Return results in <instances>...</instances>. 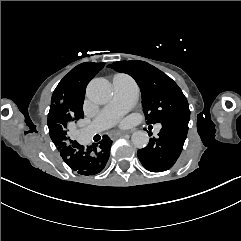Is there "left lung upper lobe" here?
Segmentation results:
<instances>
[{"mask_svg": "<svg viewBox=\"0 0 241 241\" xmlns=\"http://www.w3.org/2000/svg\"><path fill=\"white\" fill-rule=\"evenodd\" d=\"M108 67L135 79L142 93L147 124L190 118L188 102L182 90L156 67L140 60L118 61Z\"/></svg>", "mask_w": 241, "mask_h": 241, "instance_id": "5c2ea615", "label": "left lung upper lobe"}]
</instances>
